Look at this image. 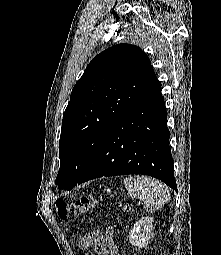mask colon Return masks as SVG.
Segmentation results:
<instances>
[{
	"label": "colon",
	"mask_w": 221,
	"mask_h": 255,
	"mask_svg": "<svg viewBox=\"0 0 221 255\" xmlns=\"http://www.w3.org/2000/svg\"><path fill=\"white\" fill-rule=\"evenodd\" d=\"M96 203L93 197H79L72 202H66L59 198L56 200V208L58 215L61 219H66L69 216H79L83 213L90 211ZM82 255H93L91 251L86 250Z\"/></svg>",
	"instance_id": "5ec220e1"
}]
</instances>
